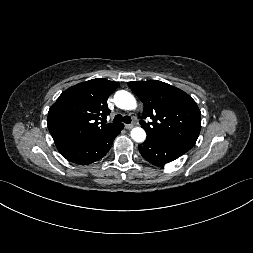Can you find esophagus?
<instances>
[{
    "label": "esophagus",
    "mask_w": 253,
    "mask_h": 253,
    "mask_svg": "<svg viewBox=\"0 0 253 253\" xmlns=\"http://www.w3.org/2000/svg\"><path fill=\"white\" fill-rule=\"evenodd\" d=\"M133 127H134L133 124H126V125H125V128H126L127 130H131Z\"/></svg>",
    "instance_id": "34e87169"
}]
</instances>
